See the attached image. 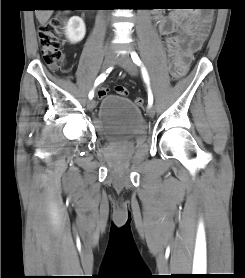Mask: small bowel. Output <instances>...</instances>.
<instances>
[{"label":"small bowel","instance_id":"small-bowel-1","mask_svg":"<svg viewBox=\"0 0 245 278\" xmlns=\"http://www.w3.org/2000/svg\"><path fill=\"white\" fill-rule=\"evenodd\" d=\"M209 15L199 10L189 13L173 12L165 18H157V31L163 36L171 65L185 73L194 54L205 42L209 31L203 28ZM108 94V93H107ZM105 95H99L101 98Z\"/></svg>","mask_w":245,"mask_h":278}]
</instances>
